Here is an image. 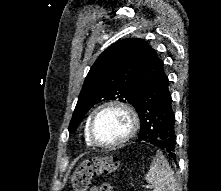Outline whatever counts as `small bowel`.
Listing matches in <instances>:
<instances>
[{
  "instance_id": "c3829d8e",
  "label": "small bowel",
  "mask_w": 221,
  "mask_h": 191,
  "mask_svg": "<svg viewBox=\"0 0 221 191\" xmlns=\"http://www.w3.org/2000/svg\"><path fill=\"white\" fill-rule=\"evenodd\" d=\"M90 191H100V188L99 187H97V186H94V187H92L91 188V190Z\"/></svg>"
}]
</instances>
